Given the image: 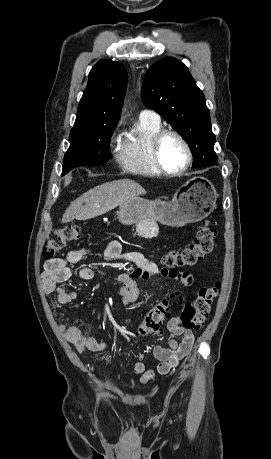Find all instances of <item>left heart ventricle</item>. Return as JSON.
I'll return each instance as SVG.
<instances>
[{
    "mask_svg": "<svg viewBox=\"0 0 271 459\" xmlns=\"http://www.w3.org/2000/svg\"><path fill=\"white\" fill-rule=\"evenodd\" d=\"M161 157L170 169H180L186 165L188 153L184 143L177 136L168 135L161 143Z\"/></svg>",
    "mask_w": 271,
    "mask_h": 459,
    "instance_id": "1",
    "label": "left heart ventricle"
}]
</instances>
